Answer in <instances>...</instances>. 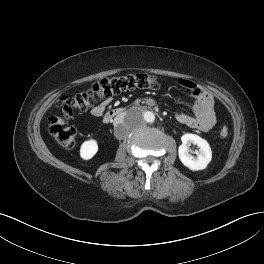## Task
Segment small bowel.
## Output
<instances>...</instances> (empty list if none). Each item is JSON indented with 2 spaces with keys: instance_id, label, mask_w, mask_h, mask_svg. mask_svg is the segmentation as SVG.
<instances>
[{
  "instance_id": "1",
  "label": "small bowel",
  "mask_w": 264,
  "mask_h": 264,
  "mask_svg": "<svg viewBox=\"0 0 264 264\" xmlns=\"http://www.w3.org/2000/svg\"><path fill=\"white\" fill-rule=\"evenodd\" d=\"M178 83L181 87L190 91L195 99V105L193 107V114L177 113L175 119L190 128L208 132L211 130L216 122L215 118V106L213 97L206 92L200 85L189 79H179ZM112 98H106L98 105L94 106L90 110V115L94 118H100L106 108L110 105Z\"/></svg>"
}]
</instances>
